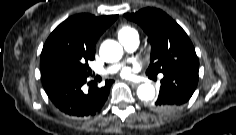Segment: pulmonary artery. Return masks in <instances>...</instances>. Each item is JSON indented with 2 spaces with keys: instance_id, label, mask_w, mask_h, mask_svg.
I'll use <instances>...</instances> for the list:
<instances>
[{
  "instance_id": "e3ab8cb5",
  "label": "pulmonary artery",
  "mask_w": 236,
  "mask_h": 135,
  "mask_svg": "<svg viewBox=\"0 0 236 135\" xmlns=\"http://www.w3.org/2000/svg\"><path fill=\"white\" fill-rule=\"evenodd\" d=\"M121 43L123 44V46L125 47L127 51L132 52L138 47L139 38L138 36H134V37L122 40ZM117 68H118L117 65L112 66L106 70V73L114 72L117 70Z\"/></svg>"
}]
</instances>
